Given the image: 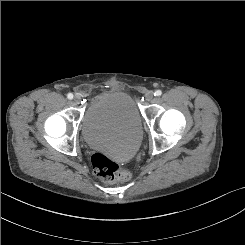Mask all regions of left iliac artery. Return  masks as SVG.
<instances>
[{"mask_svg":"<svg viewBox=\"0 0 245 245\" xmlns=\"http://www.w3.org/2000/svg\"><path fill=\"white\" fill-rule=\"evenodd\" d=\"M161 94H162L161 90H156L155 93H154V96L159 97V96H161Z\"/></svg>","mask_w":245,"mask_h":245,"instance_id":"1","label":"left iliac artery"}]
</instances>
